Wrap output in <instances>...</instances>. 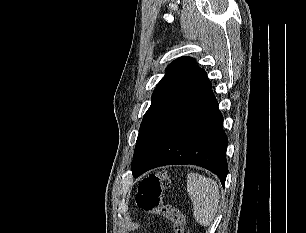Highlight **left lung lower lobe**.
<instances>
[{
  "label": "left lung lower lobe",
  "instance_id": "obj_1",
  "mask_svg": "<svg viewBox=\"0 0 306 233\" xmlns=\"http://www.w3.org/2000/svg\"><path fill=\"white\" fill-rule=\"evenodd\" d=\"M211 89L163 136L135 177L163 165L192 164L215 173L224 187L228 139Z\"/></svg>",
  "mask_w": 306,
  "mask_h": 233
}]
</instances>
